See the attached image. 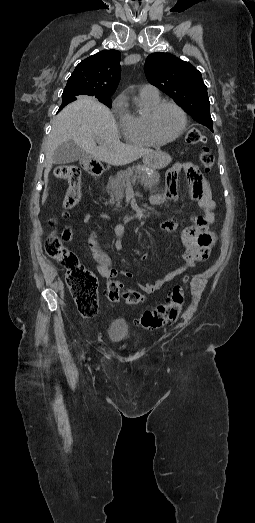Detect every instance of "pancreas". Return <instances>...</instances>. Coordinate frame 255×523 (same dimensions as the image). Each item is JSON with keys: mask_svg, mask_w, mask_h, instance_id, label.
Instances as JSON below:
<instances>
[{"mask_svg": "<svg viewBox=\"0 0 255 523\" xmlns=\"http://www.w3.org/2000/svg\"><path fill=\"white\" fill-rule=\"evenodd\" d=\"M159 178L158 172H153L150 176L143 170V166H133V168H127L124 172H118L116 176L109 178L107 184L108 194L111 196L110 204L117 202V208H121L120 202L124 198L123 192L127 184L135 183L136 180H139L144 188H152V186H157Z\"/></svg>", "mask_w": 255, "mask_h": 523, "instance_id": "pancreas-1", "label": "pancreas"}]
</instances>
